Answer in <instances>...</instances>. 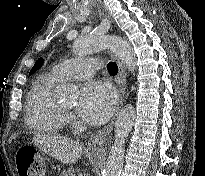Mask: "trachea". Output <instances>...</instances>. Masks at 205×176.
<instances>
[{"instance_id": "trachea-1", "label": "trachea", "mask_w": 205, "mask_h": 176, "mask_svg": "<svg viewBox=\"0 0 205 176\" xmlns=\"http://www.w3.org/2000/svg\"><path fill=\"white\" fill-rule=\"evenodd\" d=\"M108 71L112 75H116L118 73V67L114 62H109L108 63Z\"/></svg>"}]
</instances>
